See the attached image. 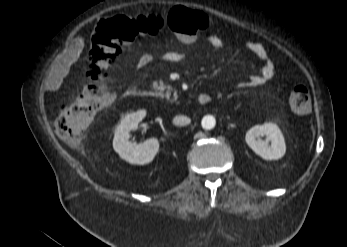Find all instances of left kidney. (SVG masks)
I'll return each instance as SVG.
<instances>
[{"label":"left kidney","mask_w":347,"mask_h":247,"mask_svg":"<svg viewBox=\"0 0 347 247\" xmlns=\"http://www.w3.org/2000/svg\"><path fill=\"white\" fill-rule=\"evenodd\" d=\"M263 136H266L265 140L261 139ZM245 141L257 155L265 160H278L286 152L284 136L274 123L266 122L252 127L246 133Z\"/></svg>","instance_id":"5707ae66"}]
</instances>
